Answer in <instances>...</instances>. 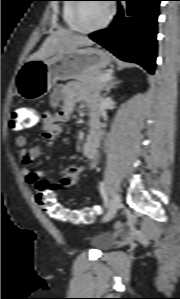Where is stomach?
Returning <instances> with one entry per match:
<instances>
[{"mask_svg":"<svg viewBox=\"0 0 180 299\" xmlns=\"http://www.w3.org/2000/svg\"><path fill=\"white\" fill-rule=\"evenodd\" d=\"M111 62L109 53L91 47L68 49L46 60H28L16 74V90L23 99L37 100L47 95L58 80L78 79Z\"/></svg>","mask_w":180,"mask_h":299,"instance_id":"obj_1","label":"stomach"}]
</instances>
